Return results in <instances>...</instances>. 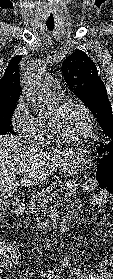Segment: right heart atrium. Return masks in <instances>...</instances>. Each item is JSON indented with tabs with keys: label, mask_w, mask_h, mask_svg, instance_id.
I'll use <instances>...</instances> for the list:
<instances>
[{
	"label": "right heart atrium",
	"mask_w": 113,
	"mask_h": 279,
	"mask_svg": "<svg viewBox=\"0 0 113 279\" xmlns=\"http://www.w3.org/2000/svg\"><path fill=\"white\" fill-rule=\"evenodd\" d=\"M13 130L20 136L32 139L36 132V117L28 107L25 97H20L11 115Z\"/></svg>",
	"instance_id": "obj_1"
}]
</instances>
